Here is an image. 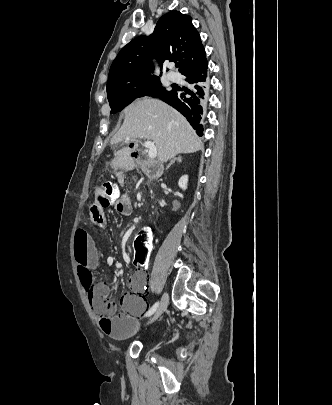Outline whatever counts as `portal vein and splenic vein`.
I'll return each mask as SVG.
<instances>
[{"label":"portal vein and splenic vein","mask_w":332,"mask_h":405,"mask_svg":"<svg viewBox=\"0 0 332 405\" xmlns=\"http://www.w3.org/2000/svg\"><path fill=\"white\" fill-rule=\"evenodd\" d=\"M125 141H126V142H129V141H130V138H126ZM143 146H144L145 148H147V150H148V157H149L150 159L156 158V156H157V148H156V146L154 145V142L149 141V140L144 141Z\"/></svg>","instance_id":"18ae733b"}]
</instances>
